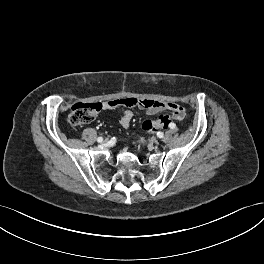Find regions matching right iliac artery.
<instances>
[{"label": "right iliac artery", "instance_id": "1", "mask_svg": "<svg viewBox=\"0 0 264 264\" xmlns=\"http://www.w3.org/2000/svg\"><path fill=\"white\" fill-rule=\"evenodd\" d=\"M102 140H103L102 137H98V138H97V141H98L99 143H101Z\"/></svg>", "mask_w": 264, "mask_h": 264}]
</instances>
